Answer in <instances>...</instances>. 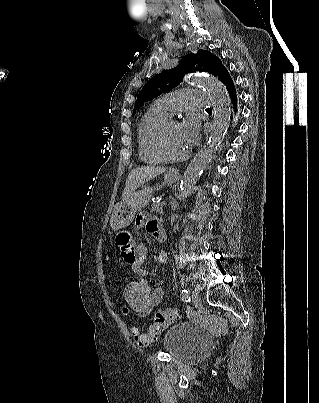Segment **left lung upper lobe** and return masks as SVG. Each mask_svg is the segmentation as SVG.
<instances>
[{"mask_svg": "<svg viewBox=\"0 0 319 403\" xmlns=\"http://www.w3.org/2000/svg\"><path fill=\"white\" fill-rule=\"evenodd\" d=\"M197 63V66L194 65ZM225 67L218 57L209 51L199 50L197 55H186L173 69L164 70L160 74L151 78L141 89L134 106V113L144 105V101H149L158 97L164 92L170 91L179 85L184 75L188 72L200 71L208 72L219 78ZM133 113V115H134Z\"/></svg>", "mask_w": 319, "mask_h": 403, "instance_id": "obj_1", "label": "left lung upper lobe"}]
</instances>
